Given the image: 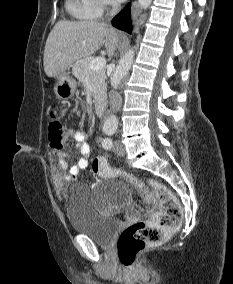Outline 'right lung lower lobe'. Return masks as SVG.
<instances>
[{"label": "right lung lower lobe", "mask_w": 233, "mask_h": 284, "mask_svg": "<svg viewBox=\"0 0 233 284\" xmlns=\"http://www.w3.org/2000/svg\"><path fill=\"white\" fill-rule=\"evenodd\" d=\"M112 25L128 33L132 32L131 15L129 4L112 19Z\"/></svg>", "instance_id": "98d812e1"}]
</instances>
